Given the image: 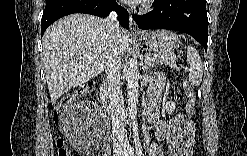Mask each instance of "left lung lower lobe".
Masks as SVG:
<instances>
[{
	"label": "left lung lower lobe",
	"mask_w": 247,
	"mask_h": 156,
	"mask_svg": "<svg viewBox=\"0 0 247 156\" xmlns=\"http://www.w3.org/2000/svg\"><path fill=\"white\" fill-rule=\"evenodd\" d=\"M133 19L140 29H169L194 37L207 51L206 0H154V9Z\"/></svg>",
	"instance_id": "1"
}]
</instances>
